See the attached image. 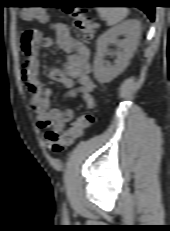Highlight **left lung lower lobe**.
<instances>
[{
  "label": "left lung lower lobe",
  "instance_id": "1",
  "mask_svg": "<svg viewBox=\"0 0 170 231\" xmlns=\"http://www.w3.org/2000/svg\"><path fill=\"white\" fill-rule=\"evenodd\" d=\"M131 3L136 4L134 7L144 11L151 21H154V6L152 0H132Z\"/></svg>",
  "mask_w": 170,
  "mask_h": 231
}]
</instances>
